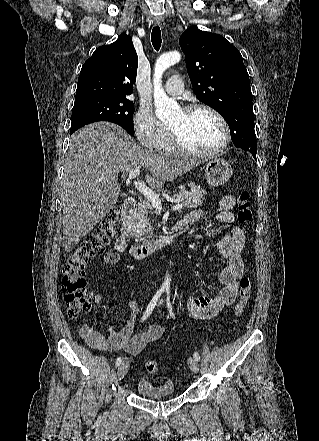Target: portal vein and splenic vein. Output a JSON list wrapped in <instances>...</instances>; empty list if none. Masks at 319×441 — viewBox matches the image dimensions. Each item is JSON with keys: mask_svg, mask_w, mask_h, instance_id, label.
<instances>
[{"mask_svg": "<svg viewBox=\"0 0 319 441\" xmlns=\"http://www.w3.org/2000/svg\"><path fill=\"white\" fill-rule=\"evenodd\" d=\"M139 174H140L139 168L133 169L132 171L129 172L128 179L129 180L135 179ZM133 184L135 188L152 203V205L155 207V209L158 212L162 210V203L158 194H156L152 189L147 187L144 183H142L139 180H134ZM182 206L183 205L181 203L176 204L175 206H173V210L175 211L180 210Z\"/></svg>", "mask_w": 319, "mask_h": 441, "instance_id": "portal-vein-and-splenic-vein-1", "label": "portal vein and splenic vein"}]
</instances>
